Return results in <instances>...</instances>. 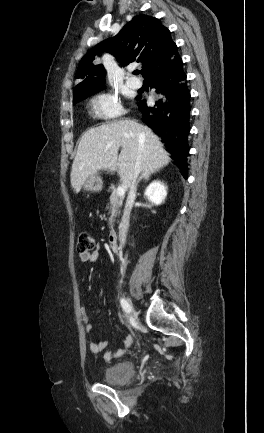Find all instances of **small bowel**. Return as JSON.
Here are the masks:
<instances>
[{"label":"small bowel","instance_id":"small-bowel-1","mask_svg":"<svg viewBox=\"0 0 264 433\" xmlns=\"http://www.w3.org/2000/svg\"><path fill=\"white\" fill-rule=\"evenodd\" d=\"M99 249L100 247L97 246L93 251L86 253V254H81L80 255V260L83 263L86 262H94L97 260L98 258V254H99ZM80 316L82 321L85 324V330L87 332H91L93 330V325L89 322V317L86 311V308L84 306L81 307L80 309ZM132 342V338L130 336H128L122 344V347H120L119 349H117L114 352H107L104 355V359L106 361H110L112 360L114 357L119 356L123 353L124 349L127 348ZM108 346V342L107 341H96V342H91L89 345L90 351L94 356H97L99 353H101L102 351H104Z\"/></svg>","mask_w":264,"mask_h":433}]
</instances>
